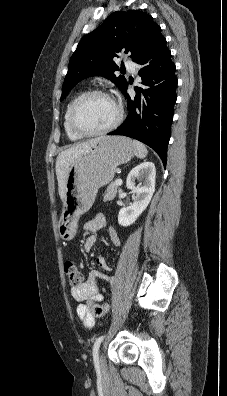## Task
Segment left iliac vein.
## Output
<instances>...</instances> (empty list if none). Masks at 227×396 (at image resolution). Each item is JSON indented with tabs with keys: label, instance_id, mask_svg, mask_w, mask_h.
Returning <instances> with one entry per match:
<instances>
[{
	"label": "left iliac vein",
	"instance_id": "left-iliac-vein-1",
	"mask_svg": "<svg viewBox=\"0 0 227 396\" xmlns=\"http://www.w3.org/2000/svg\"><path fill=\"white\" fill-rule=\"evenodd\" d=\"M99 366H100V369L101 370H104L105 369V363H104V359H103V356L100 354V356H99Z\"/></svg>",
	"mask_w": 227,
	"mask_h": 396
}]
</instances>
